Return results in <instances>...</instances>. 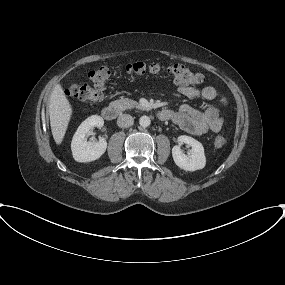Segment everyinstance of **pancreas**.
I'll return each instance as SVG.
<instances>
[{
  "mask_svg": "<svg viewBox=\"0 0 285 285\" xmlns=\"http://www.w3.org/2000/svg\"><path fill=\"white\" fill-rule=\"evenodd\" d=\"M113 104L119 109V110H126L131 108H138L141 109L142 107L139 105L138 102L128 99V98H121L119 100H116L113 102Z\"/></svg>",
  "mask_w": 285,
  "mask_h": 285,
  "instance_id": "1",
  "label": "pancreas"
}]
</instances>
